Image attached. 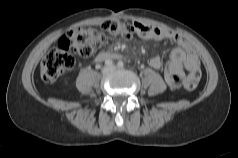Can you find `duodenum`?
Here are the masks:
<instances>
[{
    "label": "duodenum",
    "instance_id": "410a0bca",
    "mask_svg": "<svg viewBox=\"0 0 238 158\" xmlns=\"http://www.w3.org/2000/svg\"><path fill=\"white\" fill-rule=\"evenodd\" d=\"M115 55L109 52H101L96 56V61H103V60H107L111 57H114Z\"/></svg>",
    "mask_w": 238,
    "mask_h": 158
}]
</instances>
